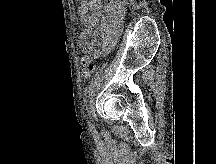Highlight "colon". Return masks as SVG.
<instances>
[{
  "mask_svg": "<svg viewBox=\"0 0 216 164\" xmlns=\"http://www.w3.org/2000/svg\"><path fill=\"white\" fill-rule=\"evenodd\" d=\"M95 71V63L93 59H88L82 62V76L84 78L90 77Z\"/></svg>",
  "mask_w": 216,
  "mask_h": 164,
  "instance_id": "obj_1",
  "label": "colon"
}]
</instances>
